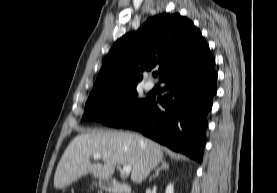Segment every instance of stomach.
Returning a JSON list of instances; mask_svg holds the SVG:
<instances>
[{
	"mask_svg": "<svg viewBox=\"0 0 277 193\" xmlns=\"http://www.w3.org/2000/svg\"><path fill=\"white\" fill-rule=\"evenodd\" d=\"M98 184H99L100 188H102L104 190H108V188H109V179L100 178Z\"/></svg>",
	"mask_w": 277,
	"mask_h": 193,
	"instance_id": "1",
	"label": "stomach"
}]
</instances>
